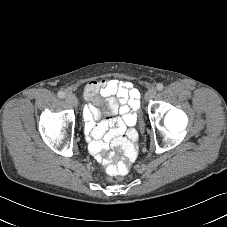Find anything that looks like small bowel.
Instances as JSON below:
<instances>
[{
    "label": "small bowel",
    "mask_w": 227,
    "mask_h": 227,
    "mask_svg": "<svg viewBox=\"0 0 227 227\" xmlns=\"http://www.w3.org/2000/svg\"><path fill=\"white\" fill-rule=\"evenodd\" d=\"M98 94L105 97L109 108V116L96 124L101 119L98 108ZM83 95L88 104L83 109L85 120V134L89 142V150L96 159L106 165L103 152L110 148L121 147L129 161L135 157V151L130 141L124 136L127 128L135 125L137 116L135 110L140 105V92L133 83L124 80H94L83 87ZM120 114V117H116ZM115 126L114 131L109 128ZM133 130H128L131 136ZM133 138V137H132ZM126 164L120 162L118 165Z\"/></svg>",
    "instance_id": "1"
}]
</instances>
